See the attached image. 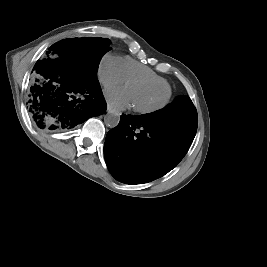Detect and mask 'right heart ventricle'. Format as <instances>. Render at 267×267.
Returning <instances> with one entry per match:
<instances>
[{
	"label": "right heart ventricle",
	"instance_id": "obj_1",
	"mask_svg": "<svg viewBox=\"0 0 267 267\" xmlns=\"http://www.w3.org/2000/svg\"><path fill=\"white\" fill-rule=\"evenodd\" d=\"M121 69L125 80L131 77L141 76L162 82L163 84L170 86L165 78L157 74L150 67L143 65L130 57L121 58Z\"/></svg>",
	"mask_w": 267,
	"mask_h": 267
}]
</instances>
